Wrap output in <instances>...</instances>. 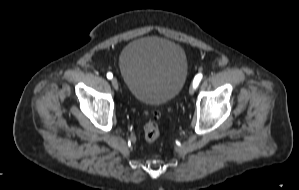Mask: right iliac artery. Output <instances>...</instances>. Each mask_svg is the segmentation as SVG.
I'll use <instances>...</instances> for the list:
<instances>
[{"label":"right iliac artery","instance_id":"82829eb1","mask_svg":"<svg viewBox=\"0 0 299 190\" xmlns=\"http://www.w3.org/2000/svg\"><path fill=\"white\" fill-rule=\"evenodd\" d=\"M112 77H113V74H112L111 72H108V73H107V78H108V79H112Z\"/></svg>","mask_w":299,"mask_h":190}]
</instances>
